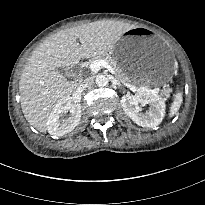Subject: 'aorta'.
<instances>
[{"mask_svg":"<svg viewBox=\"0 0 205 205\" xmlns=\"http://www.w3.org/2000/svg\"><path fill=\"white\" fill-rule=\"evenodd\" d=\"M95 82L97 86L103 87L106 86L109 82L108 78L105 75H97Z\"/></svg>","mask_w":205,"mask_h":205,"instance_id":"762f6f07","label":"aorta"}]
</instances>
